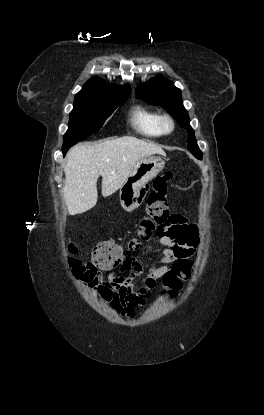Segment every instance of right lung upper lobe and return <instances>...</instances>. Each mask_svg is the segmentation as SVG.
<instances>
[{
	"label": "right lung upper lobe",
	"mask_w": 264,
	"mask_h": 415,
	"mask_svg": "<svg viewBox=\"0 0 264 415\" xmlns=\"http://www.w3.org/2000/svg\"><path fill=\"white\" fill-rule=\"evenodd\" d=\"M131 88L129 85L118 86L114 84H107L103 79L93 77L87 81L85 86L75 95L77 98L90 97H114V96H129Z\"/></svg>",
	"instance_id": "cb5924a9"
}]
</instances>
